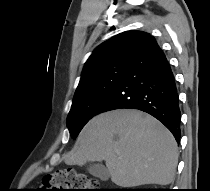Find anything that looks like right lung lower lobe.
<instances>
[{"label": "right lung lower lobe", "instance_id": "98d812e1", "mask_svg": "<svg viewBox=\"0 0 210 191\" xmlns=\"http://www.w3.org/2000/svg\"><path fill=\"white\" fill-rule=\"evenodd\" d=\"M138 109L162 122L180 140L178 91L171 67L154 37L131 58L98 114L115 109Z\"/></svg>", "mask_w": 210, "mask_h": 191}]
</instances>
